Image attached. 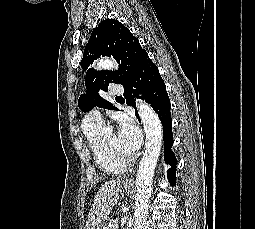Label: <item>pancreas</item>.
Returning <instances> with one entry per match:
<instances>
[{"instance_id": "1", "label": "pancreas", "mask_w": 255, "mask_h": 229, "mask_svg": "<svg viewBox=\"0 0 255 229\" xmlns=\"http://www.w3.org/2000/svg\"><path fill=\"white\" fill-rule=\"evenodd\" d=\"M117 224L116 220H111V222L108 224L107 229H114V225Z\"/></svg>"}]
</instances>
